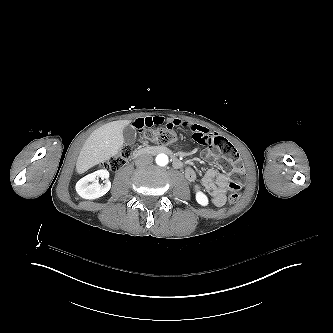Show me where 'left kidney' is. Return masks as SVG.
Masks as SVG:
<instances>
[{"instance_id":"5707ae66","label":"left kidney","mask_w":333,"mask_h":333,"mask_svg":"<svg viewBox=\"0 0 333 333\" xmlns=\"http://www.w3.org/2000/svg\"><path fill=\"white\" fill-rule=\"evenodd\" d=\"M196 201L202 205V206H207L208 205V198L207 196L201 192V191H198L196 193Z\"/></svg>"}]
</instances>
